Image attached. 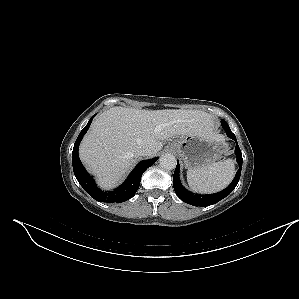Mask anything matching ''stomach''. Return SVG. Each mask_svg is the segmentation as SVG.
Masks as SVG:
<instances>
[{"mask_svg": "<svg viewBox=\"0 0 299 299\" xmlns=\"http://www.w3.org/2000/svg\"><path fill=\"white\" fill-rule=\"evenodd\" d=\"M170 149L175 151L188 169L207 166L217 161L227 148L222 135L213 132L186 135L174 140Z\"/></svg>", "mask_w": 299, "mask_h": 299, "instance_id": "0dacf381", "label": "stomach"}]
</instances>
